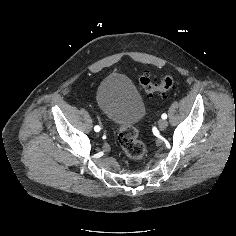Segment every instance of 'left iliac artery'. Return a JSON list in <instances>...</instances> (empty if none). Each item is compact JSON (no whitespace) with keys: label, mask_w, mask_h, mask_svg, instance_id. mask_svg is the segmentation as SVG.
I'll return each instance as SVG.
<instances>
[{"label":"left iliac artery","mask_w":236,"mask_h":236,"mask_svg":"<svg viewBox=\"0 0 236 236\" xmlns=\"http://www.w3.org/2000/svg\"><path fill=\"white\" fill-rule=\"evenodd\" d=\"M161 117H162V119H167V114L164 113V114H162Z\"/></svg>","instance_id":"obj_1"}]
</instances>
